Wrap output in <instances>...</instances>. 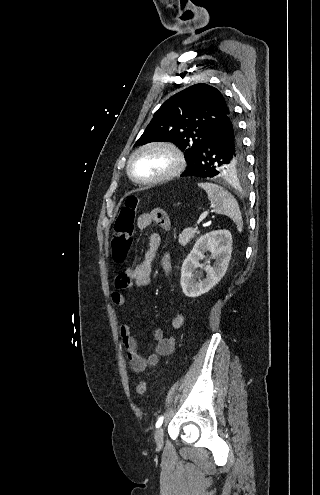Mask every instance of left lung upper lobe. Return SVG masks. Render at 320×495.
Returning <instances> with one entry per match:
<instances>
[{"label": "left lung upper lobe", "instance_id": "left-lung-upper-lobe-1", "mask_svg": "<svg viewBox=\"0 0 320 495\" xmlns=\"http://www.w3.org/2000/svg\"><path fill=\"white\" fill-rule=\"evenodd\" d=\"M231 113L218 89L204 83L192 85L162 104L134 146L169 141L183 149L189 163L216 126ZM244 166L241 148L236 157L218 167V176H231Z\"/></svg>", "mask_w": 320, "mask_h": 495}]
</instances>
